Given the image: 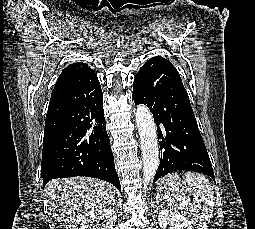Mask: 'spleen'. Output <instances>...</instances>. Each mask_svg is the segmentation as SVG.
<instances>
[{"label":"spleen","mask_w":255,"mask_h":229,"mask_svg":"<svg viewBox=\"0 0 255 229\" xmlns=\"http://www.w3.org/2000/svg\"><path fill=\"white\" fill-rule=\"evenodd\" d=\"M186 191L194 196L190 202L183 197L170 195L165 192L163 199L172 207L187 213L196 222L206 223L210 221L213 214L214 191L209 180L203 175L195 172H186L183 181Z\"/></svg>","instance_id":"1"}]
</instances>
